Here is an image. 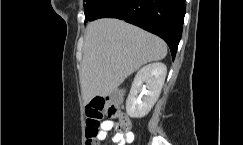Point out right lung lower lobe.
I'll list each match as a JSON object with an SVG mask.
<instances>
[{"mask_svg":"<svg viewBox=\"0 0 243 145\" xmlns=\"http://www.w3.org/2000/svg\"><path fill=\"white\" fill-rule=\"evenodd\" d=\"M185 0H92L85 23L118 18L154 33L168 44L174 60L182 35Z\"/></svg>","mask_w":243,"mask_h":145,"instance_id":"right-lung-lower-lobe-1","label":"right lung lower lobe"}]
</instances>
